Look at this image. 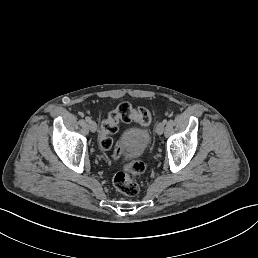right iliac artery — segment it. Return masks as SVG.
Here are the masks:
<instances>
[{
  "label": "right iliac artery",
  "mask_w": 258,
  "mask_h": 258,
  "mask_svg": "<svg viewBox=\"0 0 258 258\" xmlns=\"http://www.w3.org/2000/svg\"><path fill=\"white\" fill-rule=\"evenodd\" d=\"M85 120L90 123L91 122V118L90 117H86Z\"/></svg>",
  "instance_id": "right-iliac-artery-1"
}]
</instances>
